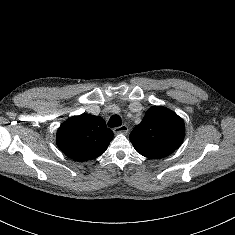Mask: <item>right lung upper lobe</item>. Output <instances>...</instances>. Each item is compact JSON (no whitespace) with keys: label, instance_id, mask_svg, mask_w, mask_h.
<instances>
[{"label":"right lung upper lobe","instance_id":"right-lung-upper-lobe-1","mask_svg":"<svg viewBox=\"0 0 235 235\" xmlns=\"http://www.w3.org/2000/svg\"><path fill=\"white\" fill-rule=\"evenodd\" d=\"M113 136L102 117L82 114L69 118L58 128L56 142L68 157L87 161L103 154Z\"/></svg>","mask_w":235,"mask_h":235}]
</instances>
